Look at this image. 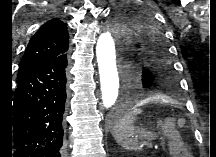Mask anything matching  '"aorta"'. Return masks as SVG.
I'll return each mask as SVG.
<instances>
[{"mask_svg":"<svg viewBox=\"0 0 216 157\" xmlns=\"http://www.w3.org/2000/svg\"><path fill=\"white\" fill-rule=\"evenodd\" d=\"M96 56L100 75L102 103L111 108L119 93V76L116 66L115 44L111 33H102L97 41Z\"/></svg>","mask_w":216,"mask_h":157,"instance_id":"762f6f07","label":"aorta"}]
</instances>
